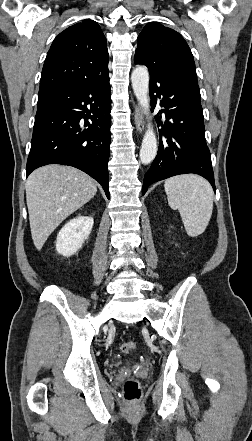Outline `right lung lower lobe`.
I'll use <instances>...</instances> for the list:
<instances>
[{
  "label": "right lung lower lobe",
  "instance_id": "98d812e1",
  "mask_svg": "<svg viewBox=\"0 0 252 441\" xmlns=\"http://www.w3.org/2000/svg\"><path fill=\"white\" fill-rule=\"evenodd\" d=\"M110 110L109 80L39 96L27 176L47 164L73 166L97 180L109 198Z\"/></svg>",
  "mask_w": 252,
  "mask_h": 441
}]
</instances>
